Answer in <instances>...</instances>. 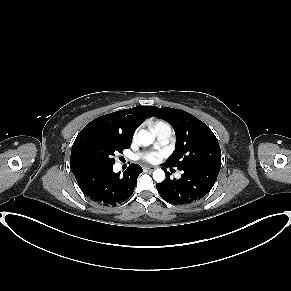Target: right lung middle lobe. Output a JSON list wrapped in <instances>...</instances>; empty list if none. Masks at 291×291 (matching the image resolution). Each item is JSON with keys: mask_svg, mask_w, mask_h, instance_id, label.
Here are the masks:
<instances>
[{"mask_svg": "<svg viewBox=\"0 0 291 291\" xmlns=\"http://www.w3.org/2000/svg\"><path fill=\"white\" fill-rule=\"evenodd\" d=\"M131 141V138L104 131H91L82 135L72 146V172L113 166L115 153H122L129 148Z\"/></svg>", "mask_w": 291, "mask_h": 291, "instance_id": "right-lung-middle-lobe-1", "label": "right lung middle lobe"}]
</instances>
